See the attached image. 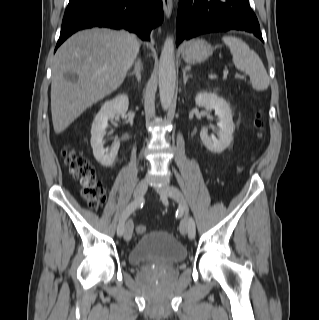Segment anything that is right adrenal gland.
Masks as SVG:
<instances>
[{
    "instance_id": "2a0ac1e0",
    "label": "right adrenal gland",
    "mask_w": 319,
    "mask_h": 320,
    "mask_svg": "<svg viewBox=\"0 0 319 320\" xmlns=\"http://www.w3.org/2000/svg\"><path fill=\"white\" fill-rule=\"evenodd\" d=\"M142 63L141 61L138 59L136 62H135V65H134V71H132L131 73H129V75H135L136 76V79L138 82L141 81V70H142Z\"/></svg>"
}]
</instances>
